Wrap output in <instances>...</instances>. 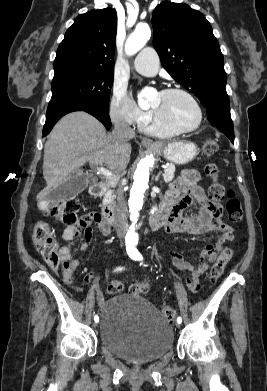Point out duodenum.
<instances>
[{
    "instance_id": "410a0bca",
    "label": "duodenum",
    "mask_w": 267,
    "mask_h": 391,
    "mask_svg": "<svg viewBox=\"0 0 267 391\" xmlns=\"http://www.w3.org/2000/svg\"><path fill=\"white\" fill-rule=\"evenodd\" d=\"M107 187L104 183L98 182L91 186L90 193L94 197H101L105 194ZM102 216L108 225H113L115 222V210L109 206L102 207ZM164 224V218L159 214L154 215L150 220L152 230L158 229Z\"/></svg>"
}]
</instances>
